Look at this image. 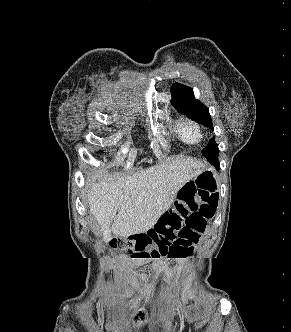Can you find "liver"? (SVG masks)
<instances>
[{
  "instance_id": "1",
  "label": "liver",
  "mask_w": 291,
  "mask_h": 332,
  "mask_svg": "<svg viewBox=\"0 0 291 332\" xmlns=\"http://www.w3.org/2000/svg\"><path fill=\"white\" fill-rule=\"evenodd\" d=\"M205 166L201 160L181 155L120 180L115 175L95 179L89 184L87 198L104 241L112 233L128 237L151 229L179 190Z\"/></svg>"
}]
</instances>
